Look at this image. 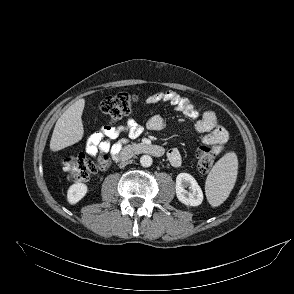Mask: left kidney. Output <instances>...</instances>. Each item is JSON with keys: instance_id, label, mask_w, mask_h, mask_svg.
<instances>
[{"instance_id": "1", "label": "left kidney", "mask_w": 294, "mask_h": 294, "mask_svg": "<svg viewBox=\"0 0 294 294\" xmlns=\"http://www.w3.org/2000/svg\"><path fill=\"white\" fill-rule=\"evenodd\" d=\"M189 187L188 192L185 188ZM176 196L187 206H199L203 201V192L193 176L180 173L176 177Z\"/></svg>"}]
</instances>
